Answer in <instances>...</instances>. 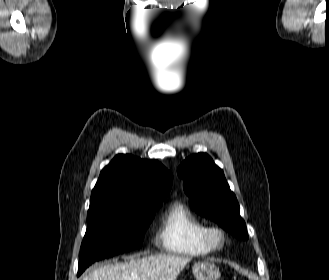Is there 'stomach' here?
I'll list each match as a JSON object with an SVG mask.
<instances>
[{
  "instance_id": "stomach-1",
  "label": "stomach",
  "mask_w": 329,
  "mask_h": 280,
  "mask_svg": "<svg viewBox=\"0 0 329 280\" xmlns=\"http://www.w3.org/2000/svg\"><path fill=\"white\" fill-rule=\"evenodd\" d=\"M196 280H218L220 278L219 268L212 262H197L192 267Z\"/></svg>"
}]
</instances>
